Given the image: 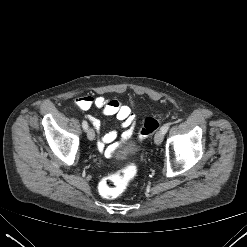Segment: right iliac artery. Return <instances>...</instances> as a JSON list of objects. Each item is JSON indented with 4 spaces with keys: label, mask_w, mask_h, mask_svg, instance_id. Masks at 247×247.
<instances>
[{
    "label": "right iliac artery",
    "mask_w": 247,
    "mask_h": 247,
    "mask_svg": "<svg viewBox=\"0 0 247 247\" xmlns=\"http://www.w3.org/2000/svg\"><path fill=\"white\" fill-rule=\"evenodd\" d=\"M82 127H83L84 130H87V128H88V123H87L86 121H83V122H82Z\"/></svg>",
    "instance_id": "1"
}]
</instances>
